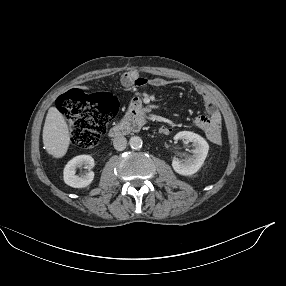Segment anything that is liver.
I'll use <instances>...</instances> for the list:
<instances>
[{
    "label": "liver",
    "instance_id": "1",
    "mask_svg": "<svg viewBox=\"0 0 286 286\" xmlns=\"http://www.w3.org/2000/svg\"><path fill=\"white\" fill-rule=\"evenodd\" d=\"M70 132L68 125L56 107L48 110L43 127V144L49 155L62 158L70 145Z\"/></svg>",
    "mask_w": 286,
    "mask_h": 286
}]
</instances>
